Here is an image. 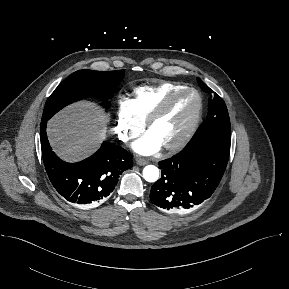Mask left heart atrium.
Returning <instances> with one entry per match:
<instances>
[{
	"label": "left heart atrium",
	"mask_w": 289,
	"mask_h": 289,
	"mask_svg": "<svg viewBox=\"0 0 289 289\" xmlns=\"http://www.w3.org/2000/svg\"><path fill=\"white\" fill-rule=\"evenodd\" d=\"M161 146L160 142L150 132L133 144L134 150L143 155L153 154L157 152Z\"/></svg>",
	"instance_id": "1"
}]
</instances>
